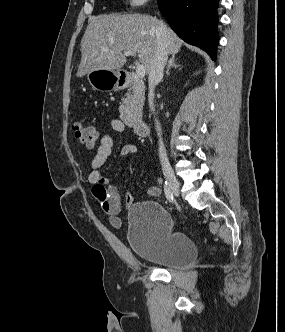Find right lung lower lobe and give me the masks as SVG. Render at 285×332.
<instances>
[{"label":"right lung lower lobe","instance_id":"right-lung-lower-lobe-1","mask_svg":"<svg viewBox=\"0 0 285 332\" xmlns=\"http://www.w3.org/2000/svg\"><path fill=\"white\" fill-rule=\"evenodd\" d=\"M219 0H157L161 14L187 43L204 49L215 60Z\"/></svg>","mask_w":285,"mask_h":332}]
</instances>
